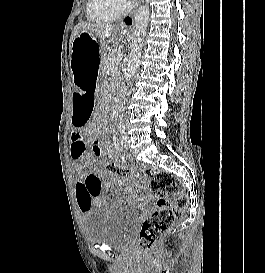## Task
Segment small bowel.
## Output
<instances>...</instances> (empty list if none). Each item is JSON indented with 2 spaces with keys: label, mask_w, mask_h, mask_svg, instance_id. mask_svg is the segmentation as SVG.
Wrapping results in <instances>:
<instances>
[{
  "label": "small bowel",
  "mask_w": 265,
  "mask_h": 273,
  "mask_svg": "<svg viewBox=\"0 0 265 273\" xmlns=\"http://www.w3.org/2000/svg\"><path fill=\"white\" fill-rule=\"evenodd\" d=\"M93 91H82V95H73L74 103L71 104L72 115L70 123L73 128H77L71 135V157L78 173L76 186V201L81 212L92 206H101L105 200L100 196L102 191L104 170L102 166L93 165V158L88 153L86 135L94 132L96 126L89 121L88 113L94 107L95 97ZM87 123V124H86ZM107 189L115 191L116 186H120L124 191L128 190L129 181L126 177L114 176L111 181L104 182ZM123 197H118L122 201Z\"/></svg>",
  "instance_id": "small-bowel-1"
}]
</instances>
